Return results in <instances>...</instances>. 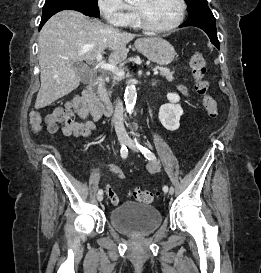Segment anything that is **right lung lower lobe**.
I'll return each instance as SVG.
<instances>
[{"instance_id":"1","label":"right lung lower lobe","mask_w":261,"mask_h":273,"mask_svg":"<svg viewBox=\"0 0 261 273\" xmlns=\"http://www.w3.org/2000/svg\"><path fill=\"white\" fill-rule=\"evenodd\" d=\"M70 2H71L70 10H76V11L82 12L83 14H85L87 16H91V17H98L100 15V14H96V13L90 11L86 7V5L84 4V2L82 0H74V1H70ZM51 16H42V19H41V22H40V25H39V30L41 29V27L45 24V22Z\"/></svg>"}]
</instances>
